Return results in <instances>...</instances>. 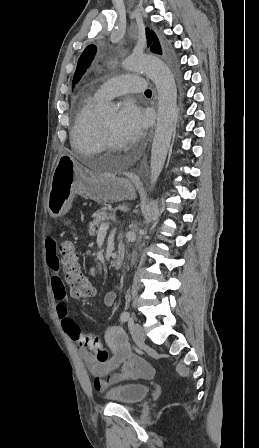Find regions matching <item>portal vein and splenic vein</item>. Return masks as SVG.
Here are the masks:
<instances>
[{
	"mask_svg": "<svg viewBox=\"0 0 259 448\" xmlns=\"http://www.w3.org/2000/svg\"><path fill=\"white\" fill-rule=\"evenodd\" d=\"M108 228H109L108 224H101L98 230V234H102V232H107Z\"/></svg>",
	"mask_w": 259,
	"mask_h": 448,
	"instance_id": "1",
	"label": "portal vein and splenic vein"
}]
</instances>
